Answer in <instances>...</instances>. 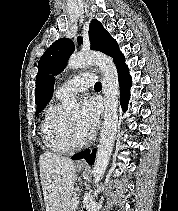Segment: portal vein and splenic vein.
<instances>
[{"instance_id": "portal-vein-and-splenic-vein-1", "label": "portal vein and splenic vein", "mask_w": 178, "mask_h": 211, "mask_svg": "<svg viewBox=\"0 0 178 211\" xmlns=\"http://www.w3.org/2000/svg\"><path fill=\"white\" fill-rule=\"evenodd\" d=\"M78 203H79V200L75 201V202L73 203L72 207L75 209V208L77 207Z\"/></svg>"}]
</instances>
